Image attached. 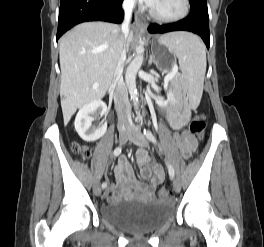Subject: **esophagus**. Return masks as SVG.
Returning a JSON list of instances; mask_svg holds the SVG:
<instances>
[{
	"mask_svg": "<svg viewBox=\"0 0 264 247\" xmlns=\"http://www.w3.org/2000/svg\"><path fill=\"white\" fill-rule=\"evenodd\" d=\"M136 22L138 25H144L139 12H136Z\"/></svg>",
	"mask_w": 264,
	"mask_h": 247,
	"instance_id": "34e87169",
	"label": "esophagus"
}]
</instances>
